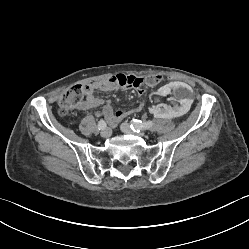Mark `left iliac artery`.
<instances>
[{
    "label": "left iliac artery",
    "mask_w": 249,
    "mask_h": 249,
    "mask_svg": "<svg viewBox=\"0 0 249 249\" xmlns=\"http://www.w3.org/2000/svg\"><path fill=\"white\" fill-rule=\"evenodd\" d=\"M153 126L152 121L142 122L140 120L134 119L131 123V129L134 132H140L141 130L149 129Z\"/></svg>",
    "instance_id": "1"
}]
</instances>
